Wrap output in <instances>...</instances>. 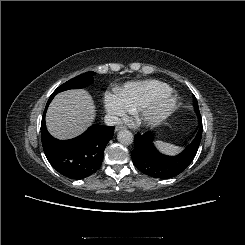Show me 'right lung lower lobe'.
<instances>
[{"mask_svg": "<svg viewBox=\"0 0 245 245\" xmlns=\"http://www.w3.org/2000/svg\"><path fill=\"white\" fill-rule=\"evenodd\" d=\"M54 96H50L41 122V140L52 167L70 179H83L102 164L104 149L113 137L114 127L93 125L82 135L70 140L53 138L45 126V113Z\"/></svg>", "mask_w": 245, "mask_h": 245, "instance_id": "98d812e1", "label": "right lung lower lobe"}]
</instances>
